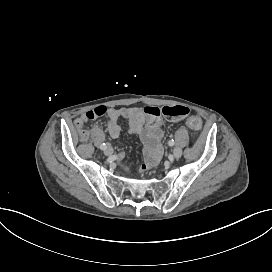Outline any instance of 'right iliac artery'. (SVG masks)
<instances>
[{"instance_id":"obj_1","label":"right iliac artery","mask_w":272,"mask_h":272,"mask_svg":"<svg viewBox=\"0 0 272 272\" xmlns=\"http://www.w3.org/2000/svg\"><path fill=\"white\" fill-rule=\"evenodd\" d=\"M100 148H101L102 150H105V149L107 148V145H106L105 143H103V144L100 146Z\"/></svg>"}]
</instances>
